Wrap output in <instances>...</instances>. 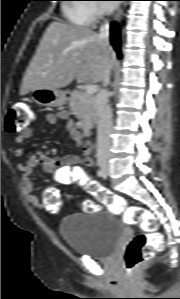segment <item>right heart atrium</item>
Wrapping results in <instances>:
<instances>
[{
	"mask_svg": "<svg viewBox=\"0 0 180 299\" xmlns=\"http://www.w3.org/2000/svg\"><path fill=\"white\" fill-rule=\"evenodd\" d=\"M94 2H97V1H94ZM89 10L94 19L99 18L102 15V10H101L100 6L98 5V3L90 5Z\"/></svg>",
	"mask_w": 180,
	"mask_h": 299,
	"instance_id": "d8ad5b80",
	"label": "right heart atrium"
}]
</instances>
